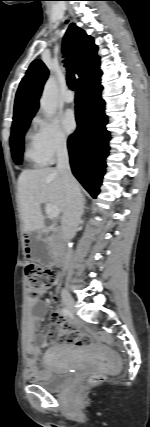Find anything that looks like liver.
<instances>
[{"label":"liver","mask_w":150,"mask_h":427,"mask_svg":"<svg viewBox=\"0 0 150 427\" xmlns=\"http://www.w3.org/2000/svg\"><path fill=\"white\" fill-rule=\"evenodd\" d=\"M18 194L24 231L34 232L44 228L41 204H50L63 214L66 191L61 174L54 168L24 170L18 178Z\"/></svg>","instance_id":"obj_1"}]
</instances>
